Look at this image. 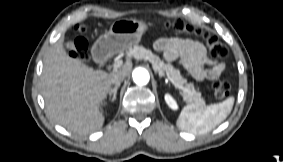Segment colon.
<instances>
[{
  "label": "colon",
  "instance_id": "obj_1",
  "mask_svg": "<svg viewBox=\"0 0 283 162\" xmlns=\"http://www.w3.org/2000/svg\"><path fill=\"white\" fill-rule=\"evenodd\" d=\"M166 30L177 35H192L201 38L207 45L210 54L214 58H224L228 54L226 46L213 36L201 29L191 26L182 20H175L165 24ZM82 31V28L79 29ZM71 56L79 61L85 62L88 59V45L84 39L75 41L71 52ZM213 94L216 99H224L232 92V85L228 80H216L213 85Z\"/></svg>",
  "mask_w": 283,
  "mask_h": 162
}]
</instances>
